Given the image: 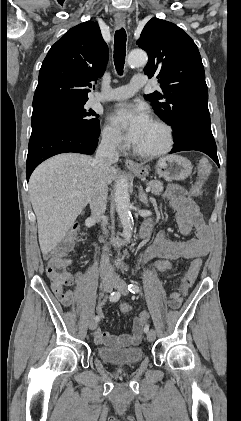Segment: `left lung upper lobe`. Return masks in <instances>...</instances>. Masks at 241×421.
I'll return each mask as SVG.
<instances>
[{
  "label": "left lung upper lobe",
  "instance_id": "left-lung-upper-lobe-1",
  "mask_svg": "<svg viewBox=\"0 0 241 421\" xmlns=\"http://www.w3.org/2000/svg\"><path fill=\"white\" fill-rule=\"evenodd\" d=\"M136 44L149 60L144 72L156 76L162 92L145 95L154 112L173 128L174 140L201 117H210L208 88L198 48L177 25L152 18Z\"/></svg>",
  "mask_w": 241,
  "mask_h": 421
}]
</instances>
